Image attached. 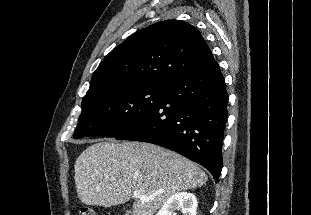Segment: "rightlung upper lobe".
<instances>
[{"mask_svg": "<svg viewBox=\"0 0 311 215\" xmlns=\"http://www.w3.org/2000/svg\"><path fill=\"white\" fill-rule=\"evenodd\" d=\"M215 62L199 30L182 20L155 23L115 47L94 72L86 96L136 85H163Z\"/></svg>", "mask_w": 311, "mask_h": 215, "instance_id": "1", "label": "right lung upper lobe"}]
</instances>
